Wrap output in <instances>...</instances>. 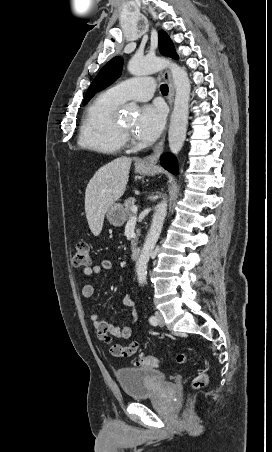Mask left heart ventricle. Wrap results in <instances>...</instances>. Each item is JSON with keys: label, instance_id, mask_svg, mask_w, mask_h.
<instances>
[{"label": "left heart ventricle", "instance_id": "1", "mask_svg": "<svg viewBox=\"0 0 272 452\" xmlns=\"http://www.w3.org/2000/svg\"><path fill=\"white\" fill-rule=\"evenodd\" d=\"M122 125H123L125 128H127V129H129V130H132L133 125H134V121H133V120L124 121V122H122Z\"/></svg>", "mask_w": 272, "mask_h": 452}]
</instances>
